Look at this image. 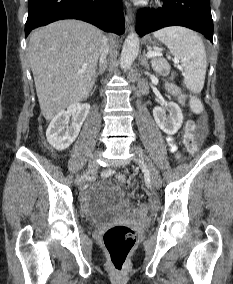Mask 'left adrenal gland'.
Returning a JSON list of instances; mask_svg holds the SVG:
<instances>
[{
  "mask_svg": "<svg viewBox=\"0 0 233 284\" xmlns=\"http://www.w3.org/2000/svg\"><path fill=\"white\" fill-rule=\"evenodd\" d=\"M141 64H142V66H144L147 69H149V64H148V61H147L145 53H143V56H142V59H141Z\"/></svg>",
  "mask_w": 233,
  "mask_h": 284,
  "instance_id": "left-adrenal-gland-1",
  "label": "left adrenal gland"
}]
</instances>
